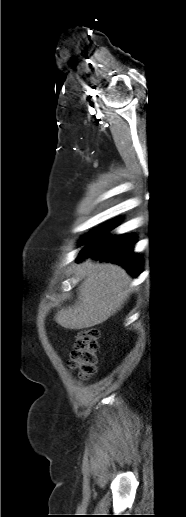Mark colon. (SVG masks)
<instances>
[{
	"mask_svg": "<svg viewBox=\"0 0 186 517\" xmlns=\"http://www.w3.org/2000/svg\"><path fill=\"white\" fill-rule=\"evenodd\" d=\"M99 331L89 328L76 334L74 349L70 355V366L80 377L88 378L96 372Z\"/></svg>",
	"mask_w": 186,
	"mask_h": 517,
	"instance_id": "1",
	"label": "colon"
}]
</instances>
